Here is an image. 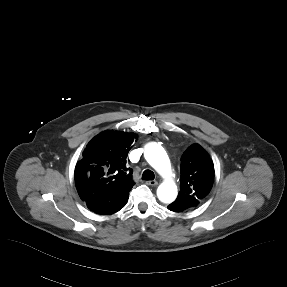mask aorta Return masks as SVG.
Returning <instances> with one entry per match:
<instances>
[{
  "label": "aorta",
  "mask_w": 287,
  "mask_h": 287,
  "mask_svg": "<svg viewBox=\"0 0 287 287\" xmlns=\"http://www.w3.org/2000/svg\"><path fill=\"white\" fill-rule=\"evenodd\" d=\"M144 156L146 161L165 179L157 189L158 199L163 203L173 202L178 190L171 179V163L166 151L161 145L152 142L146 145Z\"/></svg>",
  "instance_id": "aorta-1"
}]
</instances>
